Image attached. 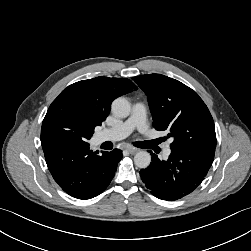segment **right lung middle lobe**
Returning <instances> with one entry per match:
<instances>
[{"label":"right lung middle lobe","instance_id":"1","mask_svg":"<svg viewBox=\"0 0 251 251\" xmlns=\"http://www.w3.org/2000/svg\"><path fill=\"white\" fill-rule=\"evenodd\" d=\"M94 127L71 109L56 107L47 111L41 128V143L64 142L87 146Z\"/></svg>","mask_w":251,"mask_h":251}]
</instances>
